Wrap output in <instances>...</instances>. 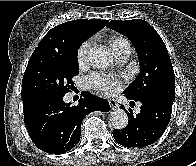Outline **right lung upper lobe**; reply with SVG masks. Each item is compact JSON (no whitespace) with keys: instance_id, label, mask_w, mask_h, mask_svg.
Listing matches in <instances>:
<instances>
[{"instance_id":"obj_1","label":"right lung upper lobe","mask_w":196,"mask_h":166,"mask_svg":"<svg viewBox=\"0 0 196 166\" xmlns=\"http://www.w3.org/2000/svg\"><path fill=\"white\" fill-rule=\"evenodd\" d=\"M108 20L78 19L52 28L39 42L38 48L66 51L75 42L82 43L106 26Z\"/></svg>"}]
</instances>
